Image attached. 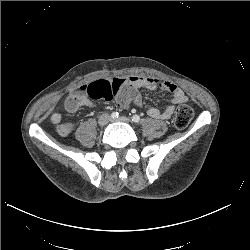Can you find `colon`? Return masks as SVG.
<instances>
[{
	"mask_svg": "<svg viewBox=\"0 0 250 250\" xmlns=\"http://www.w3.org/2000/svg\"><path fill=\"white\" fill-rule=\"evenodd\" d=\"M87 94L96 100L111 101L116 98L118 89L114 83L109 80H97L87 85ZM121 106H127L132 98V92L130 90H123L120 92ZM194 116L193 109L188 105H182L176 109L173 123L177 129L186 128L192 121Z\"/></svg>",
	"mask_w": 250,
	"mask_h": 250,
	"instance_id": "obj_1",
	"label": "colon"
}]
</instances>
